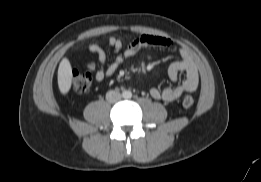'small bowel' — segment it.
<instances>
[{
    "label": "small bowel",
    "instance_id": "small-bowel-1",
    "mask_svg": "<svg viewBox=\"0 0 261 182\" xmlns=\"http://www.w3.org/2000/svg\"><path fill=\"white\" fill-rule=\"evenodd\" d=\"M108 47L113 51V60L107 63V53L102 46L91 43L87 49L97 56V63L90 61L87 67L90 70L96 69L94 79L102 82L105 78L112 76L123 62L135 56L141 49L146 47H158L170 49L177 52L181 59L170 64L168 76L172 82H176L180 72H185L186 77L180 84L158 89L152 88L150 95L157 100L173 102L184 93L194 92L199 85L198 67L190 52L182 45L159 35L142 34L133 38L124 45L123 41L116 37L108 38Z\"/></svg>",
    "mask_w": 261,
    "mask_h": 182
}]
</instances>
